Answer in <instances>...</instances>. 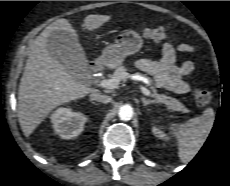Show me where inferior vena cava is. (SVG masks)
Instances as JSON below:
<instances>
[{
    "label": "inferior vena cava",
    "mask_w": 230,
    "mask_h": 186,
    "mask_svg": "<svg viewBox=\"0 0 230 186\" xmlns=\"http://www.w3.org/2000/svg\"><path fill=\"white\" fill-rule=\"evenodd\" d=\"M90 99L92 101H98L101 103H109L111 101V97L105 94H101L99 92H94L90 95Z\"/></svg>",
    "instance_id": "obj_1"
}]
</instances>
